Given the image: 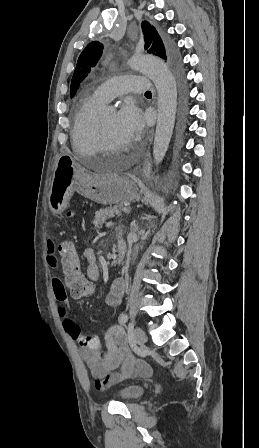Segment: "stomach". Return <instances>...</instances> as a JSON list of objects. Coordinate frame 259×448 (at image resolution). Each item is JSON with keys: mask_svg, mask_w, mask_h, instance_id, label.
Returning <instances> with one entry per match:
<instances>
[{"mask_svg": "<svg viewBox=\"0 0 259 448\" xmlns=\"http://www.w3.org/2000/svg\"><path fill=\"white\" fill-rule=\"evenodd\" d=\"M75 182L76 162L69 154H62L57 160L48 196L52 214H60L64 210V204L74 192Z\"/></svg>", "mask_w": 259, "mask_h": 448, "instance_id": "0dacf381", "label": "stomach"}]
</instances>
